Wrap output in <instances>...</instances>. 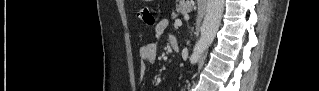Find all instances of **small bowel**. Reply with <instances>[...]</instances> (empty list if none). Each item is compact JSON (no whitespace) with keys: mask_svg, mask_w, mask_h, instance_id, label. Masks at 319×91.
<instances>
[{"mask_svg":"<svg viewBox=\"0 0 319 91\" xmlns=\"http://www.w3.org/2000/svg\"><path fill=\"white\" fill-rule=\"evenodd\" d=\"M169 22L167 19H161L157 22L154 27V36L158 38L163 32L168 28ZM157 44L155 42H147L142 45L139 49V57H140V73L141 75L145 74L147 64H153L157 59Z\"/></svg>","mask_w":319,"mask_h":91,"instance_id":"1","label":"small bowel"}]
</instances>
